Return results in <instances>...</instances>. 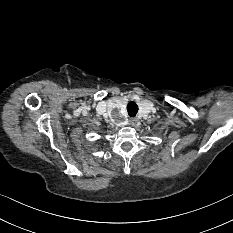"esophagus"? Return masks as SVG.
<instances>
[{
	"label": "esophagus",
	"mask_w": 233,
	"mask_h": 233,
	"mask_svg": "<svg viewBox=\"0 0 233 233\" xmlns=\"http://www.w3.org/2000/svg\"><path fill=\"white\" fill-rule=\"evenodd\" d=\"M135 122H136V119H135V118H131V119H130V123H131V124H134Z\"/></svg>",
	"instance_id": "obj_1"
}]
</instances>
